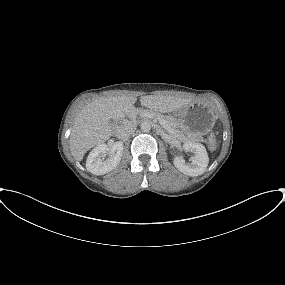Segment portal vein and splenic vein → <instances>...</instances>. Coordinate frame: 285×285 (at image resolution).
Listing matches in <instances>:
<instances>
[{
	"label": "portal vein and splenic vein",
	"mask_w": 285,
	"mask_h": 285,
	"mask_svg": "<svg viewBox=\"0 0 285 285\" xmlns=\"http://www.w3.org/2000/svg\"><path fill=\"white\" fill-rule=\"evenodd\" d=\"M143 116H145V117H153L152 115H150V114H147V113H145V114H143ZM159 123L165 128V129H168V125L166 124V122L164 121V120H161V119H159Z\"/></svg>",
	"instance_id": "18ae733b"
}]
</instances>
